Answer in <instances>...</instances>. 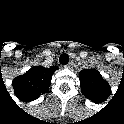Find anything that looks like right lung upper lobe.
I'll list each match as a JSON object with an SVG mask.
<instances>
[{"label": "right lung upper lobe", "instance_id": "cb5924a9", "mask_svg": "<svg viewBox=\"0 0 124 124\" xmlns=\"http://www.w3.org/2000/svg\"><path fill=\"white\" fill-rule=\"evenodd\" d=\"M57 69V66L50 68L32 67L25 74L16 77L13 85L22 99L26 101L34 100L39 95L49 91L52 75Z\"/></svg>", "mask_w": 124, "mask_h": 124}]
</instances>
